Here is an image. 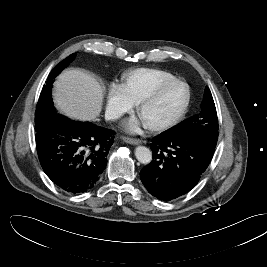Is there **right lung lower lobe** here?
<instances>
[{"label":"right lung lower lobe","instance_id":"1","mask_svg":"<svg viewBox=\"0 0 267 267\" xmlns=\"http://www.w3.org/2000/svg\"><path fill=\"white\" fill-rule=\"evenodd\" d=\"M113 134L91 122L51 114L36 128L40 164L61 190L84 193L94 187L106 167Z\"/></svg>","mask_w":267,"mask_h":267}]
</instances>
